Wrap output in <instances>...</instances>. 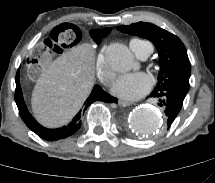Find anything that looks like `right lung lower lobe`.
<instances>
[{
	"instance_id": "right-lung-lower-lobe-1",
	"label": "right lung lower lobe",
	"mask_w": 215,
	"mask_h": 183,
	"mask_svg": "<svg viewBox=\"0 0 215 183\" xmlns=\"http://www.w3.org/2000/svg\"><path fill=\"white\" fill-rule=\"evenodd\" d=\"M76 33L79 34L80 32L76 31ZM15 81H16L15 101L19 109L21 118L34 133H36L39 137L48 141L64 139L73 135L80 128L82 116L85 110L93 102L103 101L107 103H117L116 98L110 96L100 86L95 85L90 96L85 101L83 109H81L78 112V114L73 118L72 122H70L68 125H65L61 128L48 129L40 125L29 113L22 95V90H21L20 81H19V71L16 74Z\"/></svg>"
}]
</instances>
